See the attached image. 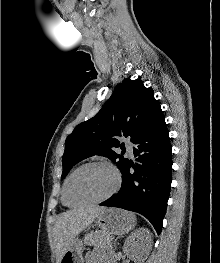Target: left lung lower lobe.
<instances>
[{
  "instance_id": "left-lung-lower-lobe-1",
  "label": "left lung lower lobe",
  "mask_w": 220,
  "mask_h": 263,
  "mask_svg": "<svg viewBox=\"0 0 220 263\" xmlns=\"http://www.w3.org/2000/svg\"><path fill=\"white\" fill-rule=\"evenodd\" d=\"M134 144L137 163L127 161L121 171V189L99 205L140 213L160 234L172 181V146L165 118ZM131 167L134 173H130Z\"/></svg>"
}]
</instances>
